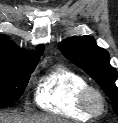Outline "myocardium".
<instances>
[{"label":"myocardium","mask_w":118,"mask_h":123,"mask_svg":"<svg viewBox=\"0 0 118 123\" xmlns=\"http://www.w3.org/2000/svg\"><path fill=\"white\" fill-rule=\"evenodd\" d=\"M78 104L80 109L91 117L101 116L106 110L105 96L98 88L90 85L79 93Z\"/></svg>","instance_id":"f54148a6"}]
</instances>
